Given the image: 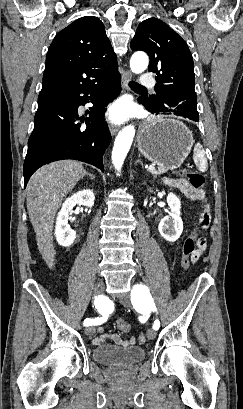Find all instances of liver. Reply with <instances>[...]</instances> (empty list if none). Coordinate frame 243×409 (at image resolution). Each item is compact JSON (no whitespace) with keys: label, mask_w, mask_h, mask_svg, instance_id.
<instances>
[{"label":"liver","mask_w":243,"mask_h":409,"mask_svg":"<svg viewBox=\"0 0 243 409\" xmlns=\"http://www.w3.org/2000/svg\"><path fill=\"white\" fill-rule=\"evenodd\" d=\"M86 175L82 163L57 161L38 169L27 184V210L37 246L49 268L55 264L53 220L62 200Z\"/></svg>","instance_id":"1"}]
</instances>
